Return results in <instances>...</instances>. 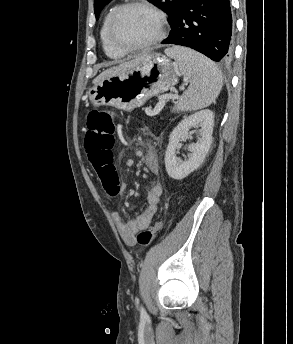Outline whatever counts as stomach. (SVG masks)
<instances>
[{
    "mask_svg": "<svg viewBox=\"0 0 293 344\" xmlns=\"http://www.w3.org/2000/svg\"><path fill=\"white\" fill-rule=\"evenodd\" d=\"M181 74L178 64L165 55L152 52L135 68L96 83L88 91V97L95 106L132 111L149 98L175 86Z\"/></svg>",
    "mask_w": 293,
    "mask_h": 344,
    "instance_id": "obj_1",
    "label": "stomach"
}]
</instances>
